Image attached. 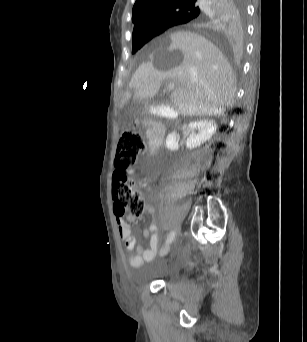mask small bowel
Masks as SVG:
<instances>
[{
	"label": "small bowel",
	"mask_w": 307,
	"mask_h": 342,
	"mask_svg": "<svg viewBox=\"0 0 307 342\" xmlns=\"http://www.w3.org/2000/svg\"><path fill=\"white\" fill-rule=\"evenodd\" d=\"M149 214H153V209L149 207L147 209ZM134 220L128 219L125 220L123 217L116 218L117 229L120 237L124 241L125 248L129 252V264L133 268H139L144 263L150 262L155 257L158 244H159V236L157 233V226L155 224H151L148 228H146L143 232L146 238H150V245L148 249H142L136 242L135 237L132 235V230L129 222Z\"/></svg>",
	"instance_id": "obj_1"
}]
</instances>
